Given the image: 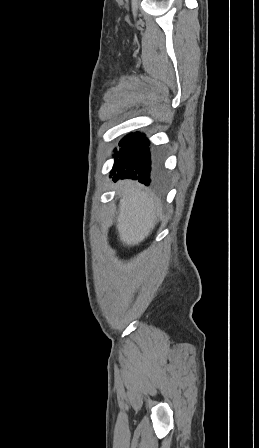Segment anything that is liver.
<instances>
[{"label": "liver", "instance_id": "liver-1", "mask_svg": "<svg viewBox=\"0 0 259 448\" xmlns=\"http://www.w3.org/2000/svg\"><path fill=\"white\" fill-rule=\"evenodd\" d=\"M117 230L123 246H137L154 230L158 200L153 192L133 180H119Z\"/></svg>", "mask_w": 259, "mask_h": 448}]
</instances>
